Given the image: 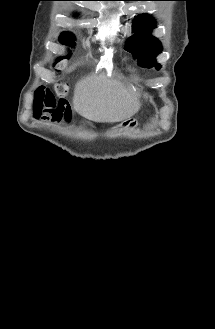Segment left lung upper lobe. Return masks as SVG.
Segmentation results:
<instances>
[{"instance_id":"left-lung-upper-lobe-1","label":"left lung upper lobe","mask_w":215,"mask_h":329,"mask_svg":"<svg viewBox=\"0 0 215 329\" xmlns=\"http://www.w3.org/2000/svg\"><path fill=\"white\" fill-rule=\"evenodd\" d=\"M145 1V0H139ZM155 28V20L150 15H138L133 20V29L137 31L128 38L126 50L137 58L141 66L161 68L155 57L161 53L162 45L157 38L150 35Z\"/></svg>"}]
</instances>
